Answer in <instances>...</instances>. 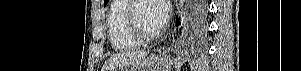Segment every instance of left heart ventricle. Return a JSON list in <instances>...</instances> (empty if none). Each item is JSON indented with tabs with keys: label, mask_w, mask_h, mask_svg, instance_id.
Masks as SVG:
<instances>
[{
	"label": "left heart ventricle",
	"mask_w": 301,
	"mask_h": 71,
	"mask_svg": "<svg viewBox=\"0 0 301 71\" xmlns=\"http://www.w3.org/2000/svg\"><path fill=\"white\" fill-rule=\"evenodd\" d=\"M136 19L145 32L151 33L158 30L152 3L150 1L139 3L136 10Z\"/></svg>",
	"instance_id": "1"
}]
</instances>
